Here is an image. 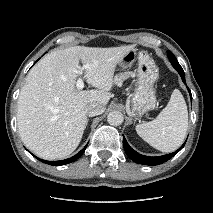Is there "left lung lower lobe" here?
Segmentation results:
<instances>
[{
	"instance_id": "1",
	"label": "left lung lower lobe",
	"mask_w": 213,
	"mask_h": 213,
	"mask_svg": "<svg viewBox=\"0 0 213 213\" xmlns=\"http://www.w3.org/2000/svg\"><path fill=\"white\" fill-rule=\"evenodd\" d=\"M178 73L180 74L182 81L184 82V84H186L185 81V74L183 70H178ZM190 97L192 99V95H191V91L189 90V88L187 87ZM185 143L175 152L167 154V155H163V156H157V157H149V156H144L141 155L139 153H137L135 150H133L129 144L127 143L125 137L123 136V146L125 149V152L127 154V156L133 160L136 163L142 164V165H159L162 164L166 161H168L169 159H171L174 155H176L183 147H184Z\"/></svg>"
}]
</instances>
